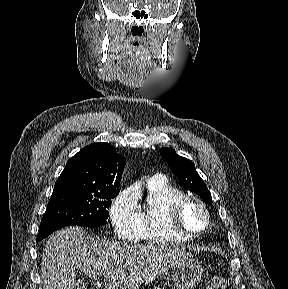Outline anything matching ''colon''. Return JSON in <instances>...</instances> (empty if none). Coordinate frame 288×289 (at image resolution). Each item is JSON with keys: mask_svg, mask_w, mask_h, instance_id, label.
I'll list each match as a JSON object with an SVG mask.
<instances>
[{"mask_svg": "<svg viewBox=\"0 0 288 289\" xmlns=\"http://www.w3.org/2000/svg\"><path fill=\"white\" fill-rule=\"evenodd\" d=\"M206 288L207 289H228V284L225 278L209 273L206 276Z\"/></svg>", "mask_w": 288, "mask_h": 289, "instance_id": "1", "label": "colon"}]
</instances>
